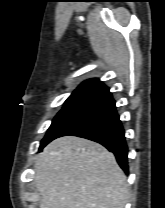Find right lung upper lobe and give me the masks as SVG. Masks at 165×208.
<instances>
[{"label": "right lung upper lobe", "mask_w": 165, "mask_h": 208, "mask_svg": "<svg viewBox=\"0 0 165 208\" xmlns=\"http://www.w3.org/2000/svg\"><path fill=\"white\" fill-rule=\"evenodd\" d=\"M112 98L109 88L98 79L82 82L65 101L64 106H85L93 108L101 102Z\"/></svg>", "instance_id": "right-lung-upper-lobe-1"}]
</instances>
